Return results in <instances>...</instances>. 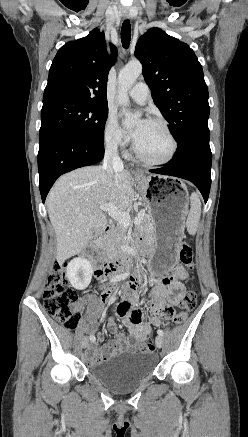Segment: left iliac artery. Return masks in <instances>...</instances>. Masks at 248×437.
<instances>
[{
	"mask_svg": "<svg viewBox=\"0 0 248 437\" xmlns=\"http://www.w3.org/2000/svg\"><path fill=\"white\" fill-rule=\"evenodd\" d=\"M157 333H158V335H160V336H163V335H164V332H163V330H161V329H158Z\"/></svg>",
	"mask_w": 248,
	"mask_h": 437,
	"instance_id": "obj_1",
	"label": "left iliac artery"
}]
</instances>
